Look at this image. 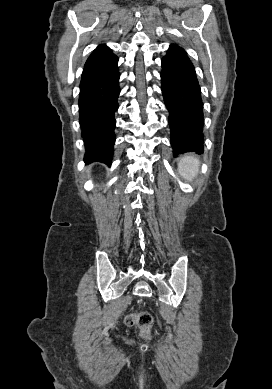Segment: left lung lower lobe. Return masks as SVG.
<instances>
[{
  "mask_svg": "<svg viewBox=\"0 0 272 389\" xmlns=\"http://www.w3.org/2000/svg\"><path fill=\"white\" fill-rule=\"evenodd\" d=\"M162 94L169 111L174 156L203 149V102L193 64L182 48L170 46L162 58Z\"/></svg>",
  "mask_w": 272,
  "mask_h": 389,
  "instance_id": "obj_1",
  "label": "left lung lower lobe"
}]
</instances>
